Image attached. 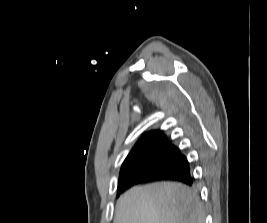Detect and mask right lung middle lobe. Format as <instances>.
<instances>
[{
  "instance_id": "1",
  "label": "right lung middle lobe",
  "mask_w": 267,
  "mask_h": 223,
  "mask_svg": "<svg viewBox=\"0 0 267 223\" xmlns=\"http://www.w3.org/2000/svg\"><path fill=\"white\" fill-rule=\"evenodd\" d=\"M184 157L185 156L180 153L178 148L162 150L150 159L130 164L126 167V172L123 175L137 171H157L167 173L174 169Z\"/></svg>"
}]
</instances>
